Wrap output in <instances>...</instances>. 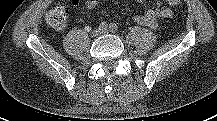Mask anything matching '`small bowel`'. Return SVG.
<instances>
[{"label":"small bowel","instance_id":"c3829d8e","mask_svg":"<svg viewBox=\"0 0 217 121\" xmlns=\"http://www.w3.org/2000/svg\"><path fill=\"white\" fill-rule=\"evenodd\" d=\"M77 3L78 0H72ZM137 2H142L144 0H135ZM97 5V0H87L86 7L93 10ZM172 10L165 6L163 0H156L155 7L148 10L146 13L136 16V21L149 28H156L161 19H168L172 17Z\"/></svg>","mask_w":217,"mask_h":121}]
</instances>
